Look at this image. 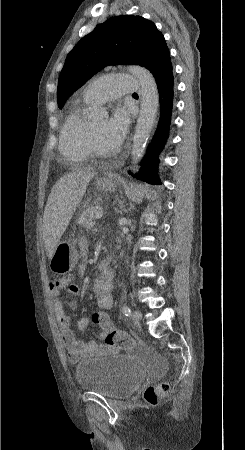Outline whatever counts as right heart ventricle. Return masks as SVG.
<instances>
[{
    "mask_svg": "<svg viewBox=\"0 0 245 450\" xmlns=\"http://www.w3.org/2000/svg\"><path fill=\"white\" fill-rule=\"evenodd\" d=\"M93 104L83 95L71 109L60 131L59 149L61 153L75 161L83 162L91 156L88 141L89 119L85 115V107Z\"/></svg>",
    "mask_w": 245,
    "mask_h": 450,
    "instance_id": "obj_1",
    "label": "right heart ventricle"
}]
</instances>
